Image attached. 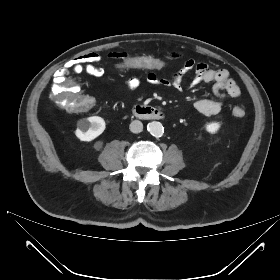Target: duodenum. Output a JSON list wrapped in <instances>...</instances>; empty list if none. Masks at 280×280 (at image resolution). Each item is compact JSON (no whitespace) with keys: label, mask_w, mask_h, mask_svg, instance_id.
Here are the masks:
<instances>
[{"label":"duodenum","mask_w":280,"mask_h":280,"mask_svg":"<svg viewBox=\"0 0 280 280\" xmlns=\"http://www.w3.org/2000/svg\"><path fill=\"white\" fill-rule=\"evenodd\" d=\"M133 113L138 118L146 120H160L164 117L162 109L148 105H136L133 108Z\"/></svg>","instance_id":"obj_1"}]
</instances>
